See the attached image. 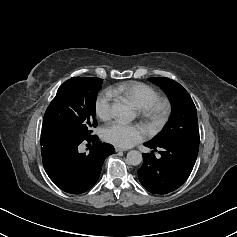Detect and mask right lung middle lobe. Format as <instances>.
Segmentation results:
<instances>
[{"label": "right lung middle lobe", "instance_id": "1", "mask_svg": "<svg viewBox=\"0 0 237 237\" xmlns=\"http://www.w3.org/2000/svg\"><path fill=\"white\" fill-rule=\"evenodd\" d=\"M102 80L94 77H73L58 89L48 106L42 130H57L77 138L86 139L97 126L95 104Z\"/></svg>", "mask_w": 237, "mask_h": 237}]
</instances>
